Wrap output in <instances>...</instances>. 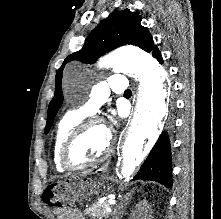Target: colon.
<instances>
[{"label":"colon","instance_id":"1","mask_svg":"<svg viewBox=\"0 0 221 219\" xmlns=\"http://www.w3.org/2000/svg\"><path fill=\"white\" fill-rule=\"evenodd\" d=\"M53 195V196H52ZM50 203L57 208L68 209L72 205V195L63 189L59 184L51 185L45 197H51Z\"/></svg>","mask_w":221,"mask_h":219}]
</instances>
